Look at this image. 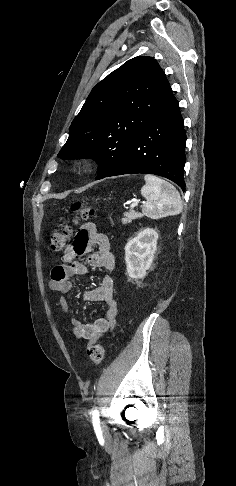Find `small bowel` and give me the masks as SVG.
Segmentation results:
<instances>
[{
    "mask_svg": "<svg viewBox=\"0 0 236 486\" xmlns=\"http://www.w3.org/2000/svg\"><path fill=\"white\" fill-rule=\"evenodd\" d=\"M93 245H97L99 249L89 255L88 262L96 268L106 271L113 270L115 259L110 251L108 237L97 231L95 223L86 222L79 229L74 242L64 249L60 263L51 271L50 280V288L62 294L60 306L62 313L71 317L73 334L77 338L87 340L89 345L113 329L118 312V305L113 294V279L105 276L98 287L83 294L85 301L103 303L104 315L92 323H82L74 316L75 311L70 305L73 298L71 278L85 276L88 273L86 263L80 258L87 254Z\"/></svg>",
    "mask_w": 236,
    "mask_h": 486,
    "instance_id": "small-bowel-1",
    "label": "small bowel"
}]
</instances>
